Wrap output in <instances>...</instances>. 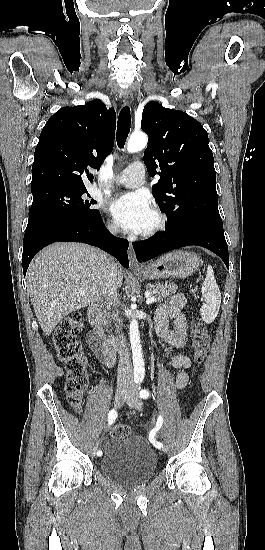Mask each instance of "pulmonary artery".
<instances>
[{"mask_svg":"<svg viewBox=\"0 0 265 550\" xmlns=\"http://www.w3.org/2000/svg\"><path fill=\"white\" fill-rule=\"evenodd\" d=\"M144 176V164L138 161L133 162L121 173L116 184L127 188H137L143 183Z\"/></svg>","mask_w":265,"mask_h":550,"instance_id":"pulmonary-artery-1","label":"pulmonary artery"}]
</instances>
